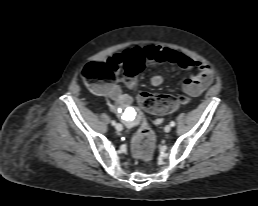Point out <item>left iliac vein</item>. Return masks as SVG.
I'll return each instance as SVG.
<instances>
[{"label":"left iliac vein","instance_id":"1","mask_svg":"<svg viewBox=\"0 0 258 206\" xmlns=\"http://www.w3.org/2000/svg\"><path fill=\"white\" fill-rule=\"evenodd\" d=\"M164 131L165 132H170L171 131V126L170 125H166L165 127H164Z\"/></svg>","mask_w":258,"mask_h":206}]
</instances>
